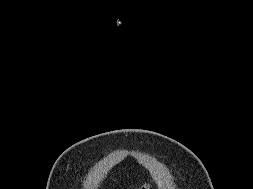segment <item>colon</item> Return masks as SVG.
I'll use <instances>...</instances> for the list:
<instances>
[{
  "instance_id": "obj_1",
  "label": "colon",
  "mask_w": 253,
  "mask_h": 189,
  "mask_svg": "<svg viewBox=\"0 0 253 189\" xmlns=\"http://www.w3.org/2000/svg\"><path fill=\"white\" fill-rule=\"evenodd\" d=\"M148 188V186H143L141 189H147Z\"/></svg>"
}]
</instances>
